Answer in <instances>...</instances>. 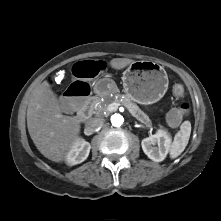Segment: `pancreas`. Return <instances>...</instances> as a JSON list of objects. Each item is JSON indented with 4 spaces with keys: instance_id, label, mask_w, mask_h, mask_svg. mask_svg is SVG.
<instances>
[{
    "instance_id": "obj_1",
    "label": "pancreas",
    "mask_w": 221,
    "mask_h": 221,
    "mask_svg": "<svg viewBox=\"0 0 221 221\" xmlns=\"http://www.w3.org/2000/svg\"><path fill=\"white\" fill-rule=\"evenodd\" d=\"M119 103L126 107L128 111L141 123L150 127L152 125L151 120L148 115L145 114L137 104L132 102V100L128 96H118V98H113L110 100H106L104 102H100L99 99H94L89 106V112L91 114L100 113L107 110L108 105L111 103Z\"/></svg>"
}]
</instances>
